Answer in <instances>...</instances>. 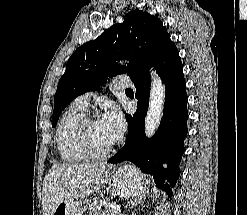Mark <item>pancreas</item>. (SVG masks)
Listing matches in <instances>:
<instances>
[{"label":"pancreas","instance_id":"pancreas-1","mask_svg":"<svg viewBox=\"0 0 247 215\" xmlns=\"http://www.w3.org/2000/svg\"><path fill=\"white\" fill-rule=\"evenodd\" d=\"M89 215H120L112 209L106 202L98 201L89 206Z\"/></svg>","mask_w":247,"mask_h":215}]
</instances>
